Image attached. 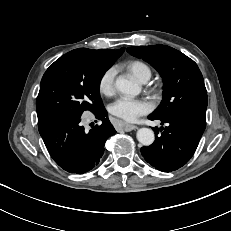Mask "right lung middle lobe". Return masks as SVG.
I'll return each instance as SVG.
<instances>
[{
	"instance_id": "dd1d6c3e",
	"label": "right lung middle lobe",
	"mask_w": 231,
	"mask_h": 231,
	"mask_svg": "<svg viewBox=\"0 0 231 231\" xmlns=\"http://www.w3.org/2000/svg\"><path fill=\"white\" fill-rule=\"evenodd\" d=\"M113 63L86 48L68 52L45 72L36 101L38 125L57 118H80L103 108L100 81Z\"/></svg>"
}]
</instances>
